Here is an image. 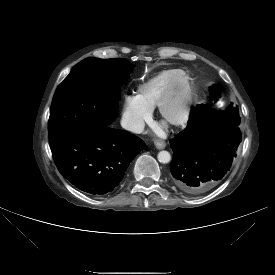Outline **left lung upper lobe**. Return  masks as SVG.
Listing matches in <instances>:
<instances>
[{
	"instance_id": "obj_1",
	"label": "left lung upper lobe",
	"mask_w": 275,
	"mask_h": 275,
	"mask_svg": "<svg viewBox=\"0 0 275 275\" xmlns=\"http://www.w3.org/2000/svg\"><path fill=\"white\" fill-rule=\"evenodd\" d=\"M210 93L212 99H217L219 97V90L215 87L210 88ZM237 107L238 106L234 107L231 103L225 110L218 111L204 104H200L192 110V118L190 121L216 120L233 126H239L240 116Z\"/></svg>"
}]
</instances>
